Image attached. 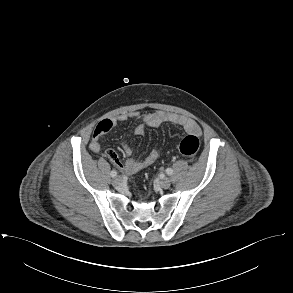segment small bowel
I'll use <instances>...</instances> for the list:
<instances>
[{
	"mask_svg": "<svg viewBox=\"0 0 293 293\" xmlns=\"http://www.w3.org/2000/svg\"><path fill=\"white\" fill-rule=\"evenodd\" d=\"M140 115L138 112L122 113L117 116L108 117L100 121L94 130L90 149L93 152L100 151L99 140L109 131H111L118 123L126 122L129 119H137ZM142 123L135 129V134L141 136L144 134L146 127L157 128L164 123H170L182 127L187 133L199 136L202 130L198 123L191 118L183 115L168 113L164 111H156L142 115ZM122 149L127 155V160L123 163L114 150L108 149L104 152L105 157L110 160L116 167L124 170L128 174H134L150 165H152L159 156L156 149H152L147 156L142 160H137L132 157V149L129 145L123 144Z\"/></svg>",
	"mask_w": 293,
	"mask_h": 293,
	"instance_id": "obj_1",
	"label": "small bowel"
}]
</instances>
